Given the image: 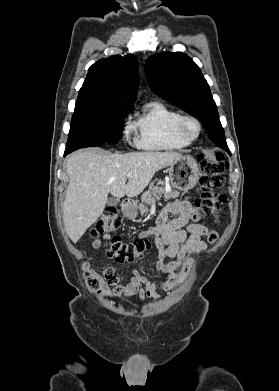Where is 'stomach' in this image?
<instances>
[{"label": "stomach", "instance_id": "stomach-1", "mask_svg": "<svg viewBox=\"0 0 279 391\" xmlns=\"http://www.w3.org/2000/svg\"><path fill=\"white\" fill-rule=\"evenodd\" d=\"M199 174V167L190 156L180 157L169 168L171 184L180 191L191 190L197 184ZM123 214L129 219H134L137 216V207L134 204H127L123 207Z\"/></svg>", "mask_w": 279, "mask_h": 391}]
</instances>
